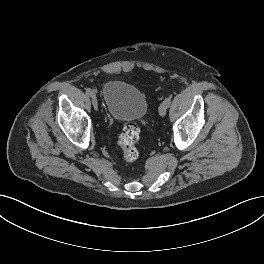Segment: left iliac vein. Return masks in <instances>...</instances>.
<instances>
[{"label":"left iliac vein","instance_id":"1","mask_svg":"<svg viewBox=\"0 0 264 264\" xmlns=\"http://www.w3.org/2000/svg\"><path fill=\"white\" fill-rule=\"evenodd\" d=\"M168 105L163 101L159 106V114L160 116H165L167 112Z\"/></svg>","mask_w":264,"mask_h":264}]
</instances>
